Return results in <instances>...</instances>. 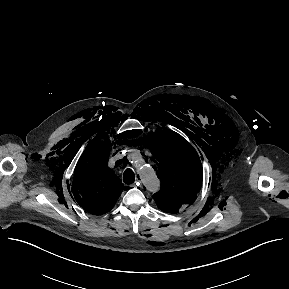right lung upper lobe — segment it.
<instances>
[{
    "mask_svg": "<svg viewBox=\"0 0 289 289\" xmlns=\"http://www.w3.org/2000/svg\"><path fill=\"white\" fill-rule=\"evenodd\" d=\"M108 151V141H90L75 168L74 198L85 211L94 215L110 211L125 190L119 177L107 166Z\"/></svg>",
    "mask_w": 289,
    "mask_h": 289,
    "instance_id": "cb5924a9",
    "label": "right lung upper lobe"
}]
</instances>
